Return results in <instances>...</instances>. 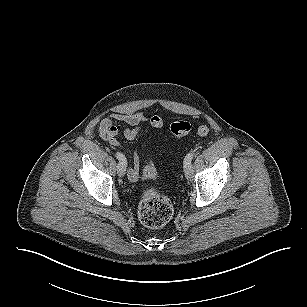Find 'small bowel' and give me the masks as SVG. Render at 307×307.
<instances>
[{"label":"small bowel","mask_w":307,"mask_h":307,"mask_svg":"<svg viewBox=\"0 0 307 307\" xmlns=\"http://www.w3.org/2000/svg\"><path fill=\"white\" fill-rule=\"evenodd\" d=\"M149 123L153 128H161L164 125V120L158 115L147 117L143 113L131 114H112L103 119L99 125L100 137L113 147H119L120 142L117 138L120 129H122L123 136L127 140H134L140 133L143 126ZM140 155L137 151L133 155V166L128 169V179L136 181L139 177Z\"/></svg>","instance_id":"1"}]
</instances>
